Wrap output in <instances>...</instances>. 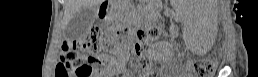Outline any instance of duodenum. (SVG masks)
Listing matches in <instances>:
<instances>
[{"label": "duodenum", "mask_w": 258, "mask_h": 77, "mask_svg": "<svg viewBox=\"0 0 258 77\" xmlns=\"http://www.w3.org/2000/svg\"><path fill=\"white\" fill-rule=\"evenodd\" d=\"M101 11H102V13H103L104 15H106V14L108 13V7H107L106 5H103V6L101 7Z\"/></svg>", "instance_id": "1"}]
</instances>
